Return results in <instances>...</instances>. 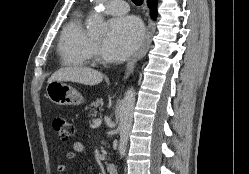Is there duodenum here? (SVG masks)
Wrapping results in <instances>:
<instances>
[{
  "label": "duodenum",
  "instance_id": "1",
  "mask_svg": "<svg viewBox=\"0 0 249 174\" xmlns=\"http://www.w3.org/2000/svg\"><path fill=\"white\" fill-rule=\"evenodd\" d=\"M106 170L108 174H118V168L115 164L109 163L106 165Z\"/></svg>",
  "mask_w": 249,
  "mask_h": 174
}]
</instances>
